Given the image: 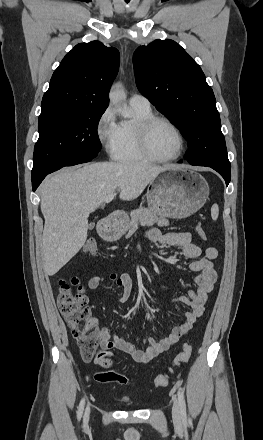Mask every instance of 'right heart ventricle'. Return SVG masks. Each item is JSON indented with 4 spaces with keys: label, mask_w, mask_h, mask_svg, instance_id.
<instances>
[{
    "label": "right heart ventricle",
    "mask_w": 263,
    "mask_h": 440,
    "mask_svg": "<svg viewBox=\"0 0 263 440\" xmlns=\"http://www.w3.org/2000/svg\"><path fill=\"white\" fill-rule=\"evenodd\" d=\"M133 108L135 120L120 124V137L113 154L114 159L124 162H136L147 160L138 150L134 132L135 123L143 118L153 115L151 108Z\"/></svg>",
    "instance_id": "right-heart-ventricle-1"
}]
</instances>
